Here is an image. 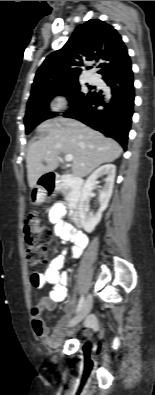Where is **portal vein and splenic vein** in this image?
<instances>
[{
	"mask_svg": "<svg viewBox=\"0 0 155 395\" xmlns=\"http://www.w3.org/2000/svg\"><path fill=\"white\" fill-rule=\"evenodd\" d=\"M72 160H73V155H72V154H67V155L65 156V161L70 162V161H72Z\"/></svg>",
	"mask_w": 155,
	"mask_h": 395,
	"instance_id": "1",
	"label": "portal vein and splenic vein"
}]
</instances>
